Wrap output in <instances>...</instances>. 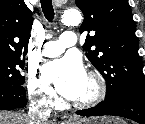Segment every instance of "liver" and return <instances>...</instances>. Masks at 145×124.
Instances as JSON below:
<instances>
[{"mask_svg":"<svg viewBox=\"0 0 145 124\" xmlns=\"http://www.w3.org/2000/svg\"><path fill=\"white\" fill-rule=\"evenodd\" d=\"M28 122L27 116L20 113L0 112V124H29Z\"/></svg>","mask_w":145,"mask_h":124,"instance_id":"1","label":"liver"}]
</instances>
